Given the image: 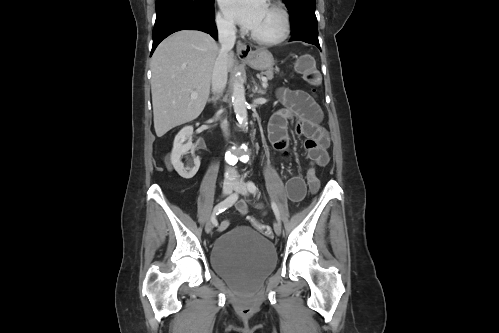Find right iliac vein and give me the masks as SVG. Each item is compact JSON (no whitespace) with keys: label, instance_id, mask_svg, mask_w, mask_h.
<instances>
[{"label":"right iliac vein","instance_id":"obj_1","mask_svg":"<svg viewBox=\"0 0 499 333\" xmlns=\"http://www.w3.org/2000/svg\"><path fill=\"white\" fill-rule=\"evenodd\" d=\"M233 186H234L233 182L231 180H229V179H226L224 181L223 188H222V194H223V196L230 195L232 193ZM212 228H213L212 221H208L206 223V225H205V231L207 233H210L211 230H212Z\"/></svg>","mask_w":499,"mask_h":333}]
</instances>
